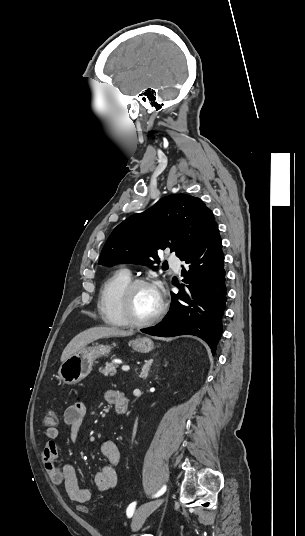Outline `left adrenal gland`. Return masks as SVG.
<instances>
[{"mask_svg": "<svg viewBox=\"0 0 305 536\" xmlns=\"http://www.w3.org/2000/svg\"><path fill=\"white\" fill-rule=\"evenodd\" d=\"M151 364H152V362H147V366H144V368H142L141 378H144V380L148 376V372L150 370Z\"/></svg>", "mask_w": 305, "mask_h": 536, "instance_id": "a2214340", "label": "left adrenal gland"}]
</instances>
